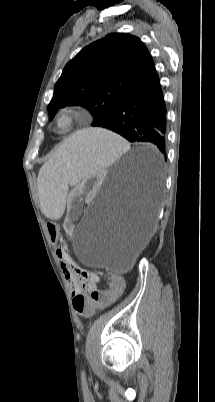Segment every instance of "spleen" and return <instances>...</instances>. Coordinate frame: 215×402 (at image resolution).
Wrapping results in <instances>:
<instances>
[{"label": "spleen", "mask_w": 215, "mask_h": 402, "mask_svg": "<svg viewBox=\"0 0 215 402\" xmlns=\"http://www.w3.org/2000/svg\"><path fill=\"white\" fill-rule=\"evenodd\" d=\"M128 149L121 137L105 128H79L41 170V210L49 218H59L65 208L63 186L77 184L99 169L106 173V167Z\"/></svg>", "instance_id": "3e777b00"}]
</instances>
